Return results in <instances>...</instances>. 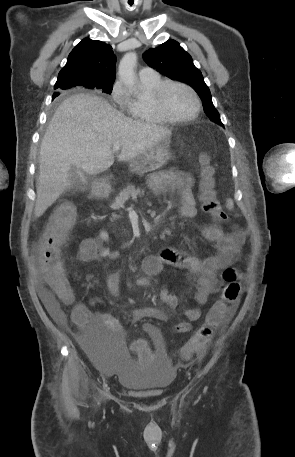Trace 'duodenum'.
<instances>
[{"instance_id": "duodenum-1", "label": "duodenum", "mask_w": 295, "mask_h": 457, "mask_svg": "<svg viewBox=\"0 0 295 457\" xmlns=\"http://www.w3.org/2000/svg\"><path fill=\"white\" fill-rule=\"evenodd\" d=\"M100 195L104 197V196H106V193L101 192Z\"/></svg>"}]
</instances>
